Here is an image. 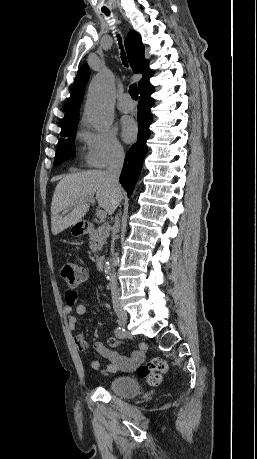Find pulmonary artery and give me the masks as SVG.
<instances>
[{
  "label": "pulmonary artery",
  "mask_w": 257,
  "mask_h": 459,
  "mask_svg": "<svg viewBox=\"0 0 257 459\" xmlns=\"http://www.w3.org/2000/svg\"><path fill=\"white\" fill-rule=\"evenodd\" d=\"M117 108L123 113L131 112L134 109V103L128 94H124L120 97Z\"/></svg>",
  "instance_id": "obj_1"
}]
</instances>
